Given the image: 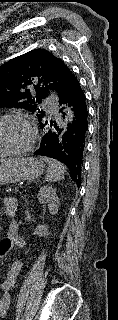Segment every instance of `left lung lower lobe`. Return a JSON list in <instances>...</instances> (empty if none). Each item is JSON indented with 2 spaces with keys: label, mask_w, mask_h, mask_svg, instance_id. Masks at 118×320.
Returning <instances> with one entry per match:
<instances>
[{
  "label": "left lung lower lobe",
  "mask_w": 118,
  "mask_h": 320,
  "mask_svg": "<svg viewBox=\"0 0 118 320\" xmlns=\"http://www.w3.org/2000/svg\"><path fill=\"white\" fill-rule=\"evenodd\" d=\"M57 97L58 104L62 107L59 112L63 114V118L65 117L64 109L68 108L67 112L73 113V120L66 128L62 127L59 120L49 121L47 115L42 118L39 123L44 136L40 148L34 154L51 157L64 163L70 177L79 186L88 129V113L85 95L74 75Z\"/></svg>",
  "instance_id": "0a47b994"
}]
</instances>
